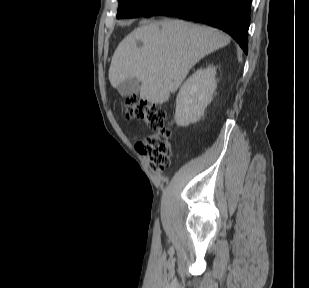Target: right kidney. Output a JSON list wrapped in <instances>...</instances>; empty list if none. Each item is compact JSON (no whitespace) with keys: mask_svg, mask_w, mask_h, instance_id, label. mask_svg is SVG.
<instances>
[{"mask_svg":"<svg viewBox=\"0 0 309 288\" xmlns=\"http://www.w3.org/2000/svg\"><path fill=\"white\" fill-rule=\"evenodd\" d=\"M216 68L199 69L181 86L176 98L175 122L188 126L196 122L212 101L216 89Z\"/></svg>","mask_w":309,"mask_h":288,"instance_id":"obj_1","label":"right kidney"}]
</instances>
